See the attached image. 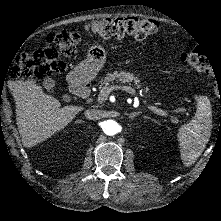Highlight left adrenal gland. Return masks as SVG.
<instances>
[{"label":"left adrenal gland","instance_id":"obj_1","mask_svg":"<svg viewBox=\"0 0 221 221\" xmlns=\"http://www.w3.org/2000/svg\"><path fill=\"white\" fill-rule=\"evenodd\" d=\"M135 115H138V113H136V114H134V115L129 114V118H130V119H133Z\"/></svg>","mask_w":221,"mask_h":221}]
</instances>
